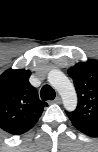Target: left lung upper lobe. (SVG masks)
I'll list each match as a JSON object with an SVG mask.
<instances>
[{"mask_svg":"<svg viewBox=\"0 0 98 152\" xmlns=\"http://www.w3.org/2000/svg\"><path fill=\"white\" fill-rule=\"evenodd\" d=\"M73 79L78 105L72 112H67L73 124L98 128V61L79 62L68 69Z\"/></svg>","mask_w":98,"mask_h":152,"instance_id":"5c2ea615","label":"left lung upper lobe"}]
</instances>
